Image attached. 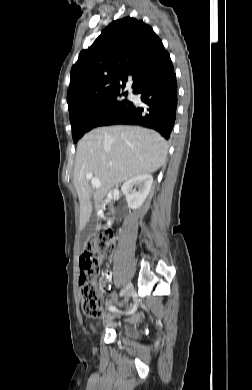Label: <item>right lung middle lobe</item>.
Listing matches in <instances>:
<instances>
[{"label": "right lung middle lobe", "instance_id": "dd1d6c3e", "mask_svg": "<svg viewBox=\"0 0 252 390\" xmlns=\"http://www.w3.org/2000/svg\"><path fill=\"white\" fill-rule=\"evenodd\" d=\"M117 96L118 94L82 104L69 111L74 142L92 128L107 125L132 106L127 100H117Z\"/></svg>", "mask_w": 252, "mask_h": 390}]
</instances>
